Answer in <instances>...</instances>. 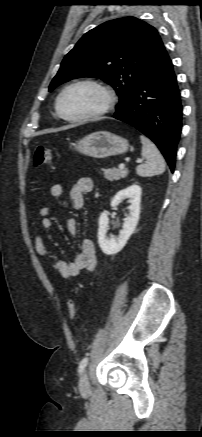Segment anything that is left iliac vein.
Listing matches in <instances>:
<instances>
[{"label": "left iliac vein", "instance_id": "1", "mask_svg": "<svg viewBox=\"0 0 202 437\" xmlns=\"http://www.w3.org/2000/svg\"><path fill=\"white\" fill-rule=\"evenodd\" d=\"M79 389L81 392H84V393H87L90 391V383H89V378H88L86 371H84L80 377Z\"/></svg>", "mask_w": 202, "mask_h": 437}]
</instances>
